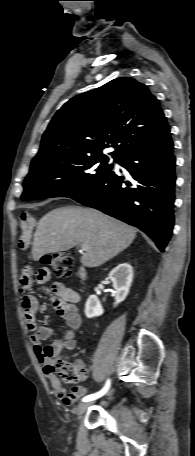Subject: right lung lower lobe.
Wrapping results in <instances>:
<instances>
[{
  "mask_svg": "<svg viewBox=\"0 0 195 456\" xmlns=\"http://www.w3.org/2000/svg\"><path fill=\"white\" fill-rule=\"evenodd\" d=\"M172 140L132 150L116 159L130 174L114 172L74 200L98 209L149 235L164 251L174 226L175 156Z\"/></svg>",
  "mask_w": 195,
  "mask_h": 456,
  "instance_id": "right-lung-lower-lobe-1",
  "label": "right lung lower lobe"
}]
</instances>
